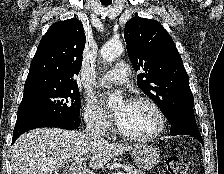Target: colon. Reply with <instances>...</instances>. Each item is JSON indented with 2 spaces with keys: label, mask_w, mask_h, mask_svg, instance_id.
I'll list each match as a JSON object with an SVG mask.
<instances>
[{
  "label": "colon",
  "mask_w": 224,
  "mask_h": 174,
  "mask_svg": "<svg viewBox=\"0 0 224 174\" xmlns=\"http://www.w3.org/2000/svg\"><path fill=\"white\" fill-rule=\"evenodd\" d=\"M166 167L169 174H186L187 165L179 156L172 155L166 159Z\"/></svg>",
  "instance_id": "obj_1"
}]
</instances>
